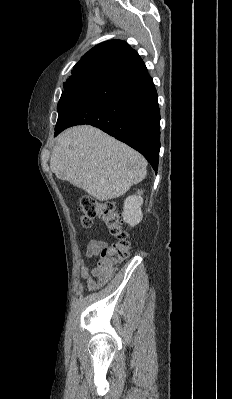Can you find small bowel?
<instances>
[{
    "label": "small bowel",
    "mask_w": 232,
    "mask_h": 399,
    "mask_svg": "<svg viewBox=\"0 0 232 399\" xmlns=\"http://www.w3.org/2000/svg\"><path fill=\"white\" fill-rule=\"evenodd\" d=\"M99 252L98 245L95 241L91 240L87 244V249H86V254L85 257L87 259H92L94 258ZM80 274L81 277L86 280L87 286V292L92 293L95 287V282H94V277H95V271L93 268L90 266L86 265L83 261L80 263Z\"/></svg>",
    "instance_id": "obj_1"
}]
</instances>
